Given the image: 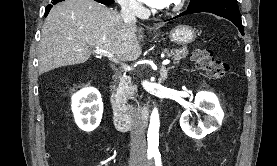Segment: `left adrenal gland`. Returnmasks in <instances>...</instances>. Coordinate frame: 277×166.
Masks as SVG:
<instances>
[{"instance_id": "obj_1", "label": "left adrenal gland", "mask_w": 277, "mask_h": 166, "mask_svg": "<svg viewBox=\"0 0 277 166\" xmlns=\"http://www.w3.org/2000/svg\"><path fill=\"white\" fill-rule=\"evenodd\" d=\"M173 67H168V68H166L165 66H162V68H161V77H162V79H163V81H165L166 79H167V76H168V71L170 70V69H172Z\"/></svg>"}]
</instances>
